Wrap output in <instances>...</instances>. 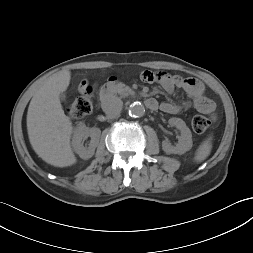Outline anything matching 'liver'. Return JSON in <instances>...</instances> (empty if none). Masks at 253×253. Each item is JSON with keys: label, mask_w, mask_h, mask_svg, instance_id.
<instances>
[{"label": "liver", "mask_w": 253, "mask_h": 253, "mask_svg": "<svg viewBox=\"0 0 253 253\" xmlns=\"http://www.w3.org/2000/svg\"><path fill=\"white\" fill-rule=\"evenodd\" d=\"M70 79L68 70L50 76L35 92L27 112V131L33 150L55 167L71 166L77 161L70 143L72 122L64 114L59 99Z\"/></svg>", "instance_id": "obj_1"}]
</instances>
